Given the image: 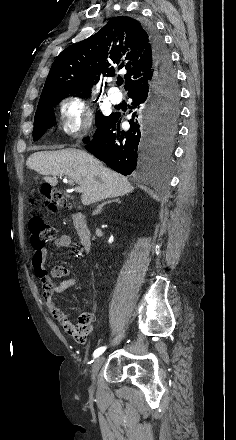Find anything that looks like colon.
<instances>
[{
	"label": "colon",
	"mask_w": 236,
	"mask_h": 440,
	"mask_svg": "<svg viewBox=\"0 0 236 440\" xmlns=\"http://www.w3.org/2000/svg\"><path fill=\"white\" fill-rule=\"evenodd\" d=\"M39 193L50 202L53 209L61 202L60 193L54 191L48 184H44ZM29 234L31 246L34 249H40L54 239L56 232L55 228L48 224L41 215L33 213L29 220Z\"/></svg>",
	"instance_id": "1"
}]
</instances>
